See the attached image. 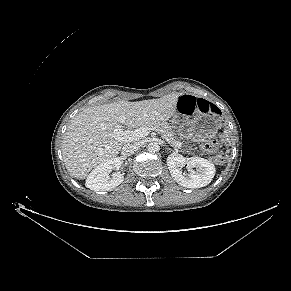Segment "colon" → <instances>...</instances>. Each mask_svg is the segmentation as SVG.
<instances>
[{
	"instance_id": "1",
	"label": "colon",
	"mask_w": 291,
	"mask_h": 291,
	"mask_svg": "<svg viewBox=\"0 0 291 291\" xmlns=\"http://www.w3.org/2000/svg\"><path fill=\"white\" fill-rule=\"evenodd\" d=\"M178 107L180 111L186 115H192L196 112L212 113L216 112L217 108L209 101L202 98H192L188 96H181L178 100ZM219 149V142L216 139L210 140L203 145V150L210 154L213 161L222 164L225 162V157L216 155Z\"/></svg>"
}]
</instances>
